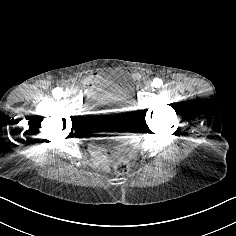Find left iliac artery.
Returning <instances> with one entry per match:
<instances>
[{
  "label": "left iliac artery",
  "instance_id": "44dca946",
  "mask_svg": "<svg viewBox=\"0 0 236 236\" xmlns=\"http://www.w3.org/2000/svg\"><path fill=\"white\" fill-rule=\"evenodd\" d=\"M163 84L162 80L159 78H155L151 85L155 88H160V86Z\"/></svg>",
  "mask_w": 236,
  "mask_h": 236
}]
</instances>
